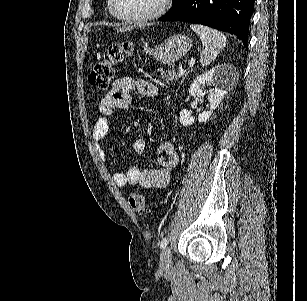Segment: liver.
<instances>
[{
    "label": "liver",
    "instance_id": "6515ba94",
    "mask_svg": "<svg viewBox=\"0 0 307 301\" xmlns=\"http://www.w3.org/2000/svg\"><path fill=\"white\" fill-rule=\"evenodd\" d=\"M114 26H116V28H114V30H117V32H126V30H133L135 24H129V26H127V24H124V22H113Z\"/></svg>",
    "mask_w": 307,
    "mask_h": 301
}]
</instances>
